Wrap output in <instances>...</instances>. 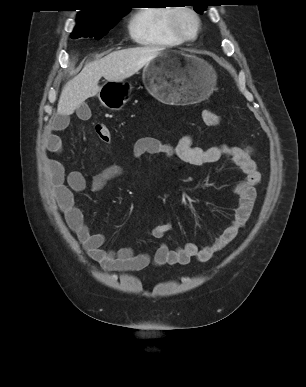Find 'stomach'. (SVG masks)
<instances>
[{
  "instance_id": "stomach-1",
  "label": "stomach",
  "mask_w": 306,
  "mask_h": 387,
  "mask_svg": "<svg viewBox=\"0 0 306 387\" xmlns=\"http://www.w3.org/2000/svg\"><path fill=\"white\" fill-rule=\"evenodd\" d=\"M143 81L150 93L166 108H189L207 99L216 85L215 70L203 59L167 46L143 69ZM128 89L122 82L104 85L98 97L113 110L127 102Z\"/></svg>"
}]
</instances>
